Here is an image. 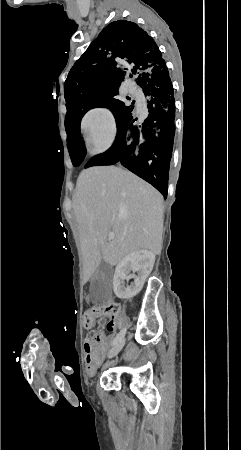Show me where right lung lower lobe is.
Wrapping results in <instances>:
<instances>
[{"mask_svg":"<svg viewBox=\"0 0 241 450\" xmlns=\"http://www.w3.org/2000/svg\"><path fill=\"white\" fill-rule=\"evenodd\" d=\"M139 85L149 98L147 118L139 126L133 125L137 118L117 125V135L111 148L90 159L85 168L121 163L166 198L175 135L174 90L166 65L145 72L139 79ZM81 118L70 117L65 127L69 150L86 155L80 137Z\"/></svg>","mask_w":241,"mask_h":450,"instance_id":"obj_1","label":"right lung lower lobe"}]
</instances>
